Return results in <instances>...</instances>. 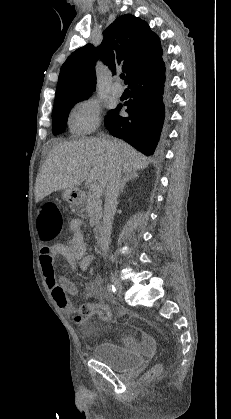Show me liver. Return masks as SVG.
I'll return each instance as SVG.
<instances>
[{"mask_svg": "<svg viewBox=\"0 0 231 419\" xmlns=\"http://www.w3.org/2000/svg\"><path fill=\"white\" fill-rule=\"evenodd\" d=\"M112 164L127 174L146 168L149 160L126 142L109 136L59 143L37 175L35 201L84 181L106 187Z\"/></svg>", "mask_w": 231, "mask_h": 419, "instance_id": "6515ba94", "label": "liver"}]
</instances>
